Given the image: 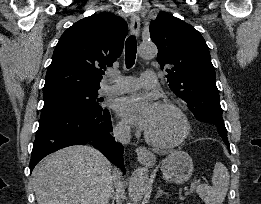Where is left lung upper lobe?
<instances>
[{
    "mask_svg": "<svg viewBox=\"0 0 261 204\" xmlns=\"http://www.w3.org/2000/svg\"><path fill=\"white\" fill-rule=\"evenodd\" d=\"M149 30L158 48V63L162 69L168 66L170 89L187 103L197 120L215 125L219 135L227 137L215 69L202 35L165 12L151 21Z\"/></svg>",
    "mask_w": 261,
    "mask_h": 204,
    "instance_id": "obj_1",
    "label": "left lung upper lobe"
}]
</instances>
